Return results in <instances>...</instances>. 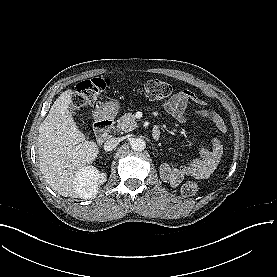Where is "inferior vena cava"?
Segmentation results:
<instances>
[{"label":"inferior vena cava","instance_id":"obj_1","mask_svg":"<svg viewBox=\"0 0 277 277\" xmlns=\"http://www.w3.org/2000/svg\"><path fill=\"white\" fill-rule=\"evenodd\" d=\"M120 143V139L117 137H112L105 141L104 143V149L106 151L113 150L118 144Z\"/></svg>","mask_w":277,"mask_h":277}]
</instances>
